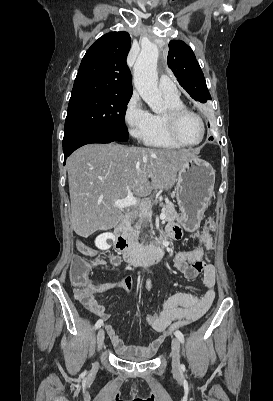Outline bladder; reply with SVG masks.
I'll use <instances>...</instances> for the list:
<instances>
[{"label":"bladder","instance_id":"obj_1","mask_svg":"<svg viewBox=\"0 0 273 401\" xmlns=\"http://www.w3.org/2000/svg\"><path fill=\"white\" fill-rule=\"evenodd\" d=\"M151 357L152 355H147L143 357L121 356V358L124 360H134V361H146L149 360Z\"/></svg>","mask_w":273,"mask_h":401}]
</instances>
